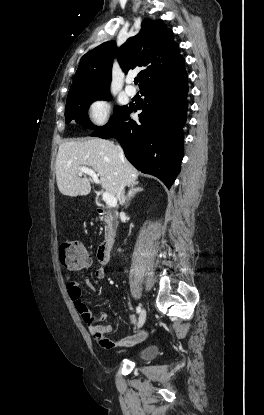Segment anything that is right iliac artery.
Masks as SVG:
<instances>
[{
	"label": "right iliac artery",
	"instance_id": "right-iliac-artery-1",
	"mask_svg": "<svg viewBox=\"0 0 264 415\" xmlns=\"http://www.w3.org/2000/svg\"><path fill=\"white\" fill-rule=\"evenodd\" d=\"M136 311H137V313L139 314V313L141 312V307H140V306H138V307L136 308Z\"/></svg>",
	"mask_w": 264,
	"mask_h": 415
}]
</instances>
